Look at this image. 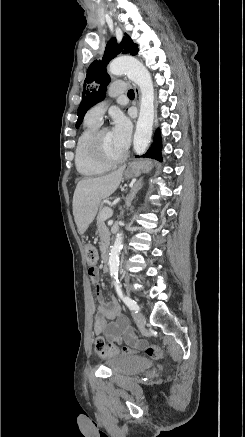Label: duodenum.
<instances>
[{
    "label": "duodenum",
    "mask_w": 245,
    "mask_h": 437,
    "mask_svg": "<svg viewBox=\"0 0 245 437\" xmlns=\"http://www.w3.org/2000/svg\"><path fill=\"white\" fill-rule=\"evenodd\" d=\"M101 257L104 262L103 270L104 272H108V260H109V250L107 246H104L101 251Z\"/></svg>",
    "instance_id": "obj_1"
}]
</instances>
